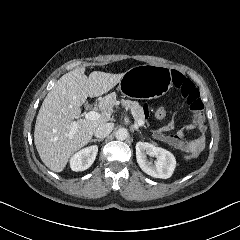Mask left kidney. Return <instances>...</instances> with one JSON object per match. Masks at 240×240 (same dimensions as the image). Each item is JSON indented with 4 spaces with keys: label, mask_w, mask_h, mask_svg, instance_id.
Returning <instances> with one entry per match:
<instances>
[{
    "label": "left kidney",
    "mask_w": 240,
    "mask_h": 240,
    "mask_svg": "<svg viewBox=\"0 0 240 240\" xmlns=\"http://www.w3.org/2000/svg\"><path fill=\"white\" fill-rule=\"evenodd\" d=\"M135 148L137 163L143 172L162 179L172 176L176 167V159L171 152L147 142H137ZM147 155L156 157L155 163L148 161Z\"/></svg>",
    "instance_id": "1"
}]
</instances>
